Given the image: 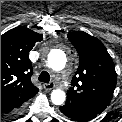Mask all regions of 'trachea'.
<instances>
[{
    "mask_svg": "<svg viewBox=\"0 0 122 122\" xmlns=\"http://www.w3.org/2000/svg\"><path fill=\"white\" fill-rule=\"evenodd\" d=\"M39 81L44 82V83H49L50 82V75L46 71H42L41 74L39 75Z\"/></svg>",
    "mask_w": 122,
    "mask_h": 122,
    "instance_id": "obj_1",
    "label": "trachea"
}]
</instances>
